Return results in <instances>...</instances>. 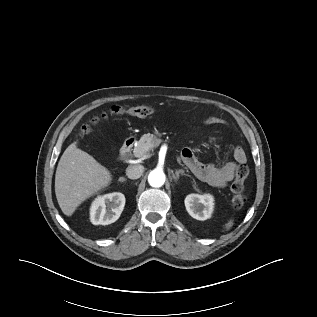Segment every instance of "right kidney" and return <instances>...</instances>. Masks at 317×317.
I'll return each instance as SVG.
<instances>
[{
  "instance_id": "ca27d5eb",
  "label": "right kidney",
  "mask_w": 317,
  "mask_h": 317,
  "mask_svg": "<svg viewBox=\"0 0 317 317\" xmlns=\"http://www.w3.org/2000/svg\"><path fill=\"white\" fill-rule=\"evenodd\" d=\"M125 206V196L113 192L98 196L91 204L90 220L94 225H108L115 222Z\"/></svg>"
}]
</instances>
